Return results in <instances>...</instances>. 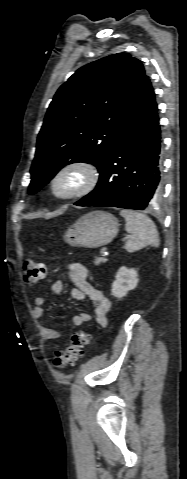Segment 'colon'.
<instances>
[{"mask_svg": "<svg viewBox=\"0 0 187 479\" xmlns=\"http://www.w3.org/2000/svg\"><path fill=\"white\" fill-rule=\"evenodd\" d=\"M24 280L28 285L38 284L46 276V266L35 259H26L23 262ZM91 340L90 334L84 330H77L72 334L65 349L56 353L53 365L57 369H64L74 364L83 354V348Z\"/></svg>", "mask_w": 187, "mask_h": 479, "instance_id": "5ec220e1", "label": "colon"}]
</instances>
